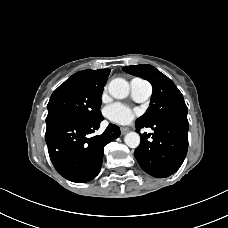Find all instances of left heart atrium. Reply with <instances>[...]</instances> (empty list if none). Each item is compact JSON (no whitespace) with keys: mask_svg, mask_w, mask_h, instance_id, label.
Instances as JSON below:
<instances>
[{"mask_svg":"<svg viewBox=\"0 0 228 228\" xmlns=\"http://www.w3.org/2000/svg\"><path fill=\"white\" fill-rule=\"evenodd\" d=\"M106 115L115 123L128 124L134 119L136 112L128 106L115 103L106 107Z\"/></svg>","mask_w":228,"mask_h":228,"instance_id":"39dd6f15","label":"left heart atrium"}]
</instances>
